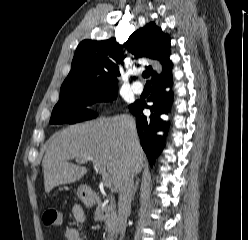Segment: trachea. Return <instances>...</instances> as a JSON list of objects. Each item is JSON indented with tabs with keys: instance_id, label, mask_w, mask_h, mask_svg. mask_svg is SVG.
<instances>
[{
	"instance_id": "3493384b",
	"label": "trachea",
	"mask_w": 248,
	"mask_h": 240,
	"mask_svg": "<svg viewBox=\"0 0 248 240\" xmlns=\"http://www.w3.org/2000/svg\"><path fill=\"white\" fill-rule=\"evenodd\" d=\"M150 76V73H149V71H145V72H143V77L144 78H148ZM147 84H150L149 82H147Z\"/></svg>"
}]
</instances>
